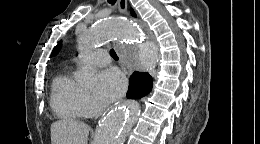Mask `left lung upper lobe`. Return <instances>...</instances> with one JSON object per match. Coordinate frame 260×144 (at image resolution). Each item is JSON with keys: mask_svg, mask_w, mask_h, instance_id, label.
<instances>
[{"mask_svg": "<svg viewBox=\"0 0 260 144\" xmlns=\"http://www.w3.org/2000/svg\"><path fill=\"white\" fill-rule=\"evenodd\" d=\"M61 43H62V41H59V42H58V44H57V45L55 46V48L53 49L51 56H54V55H56V54L58 53V51H59L60 48H61Z\"/></svg>", "mask_w": 260, "mask_h": 144, "instance_id": "1", "label": "left lung upper lobe"}]
</instances>
